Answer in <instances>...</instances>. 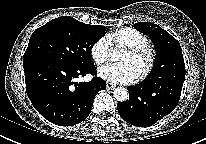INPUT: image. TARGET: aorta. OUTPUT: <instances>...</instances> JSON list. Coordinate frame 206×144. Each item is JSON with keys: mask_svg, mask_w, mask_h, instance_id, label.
<instances>
[{"mask_svg": "<svg viewBox=\"0 0 206 144\" xmlns=\"http://www.w3.org/2000/svg\"><path fill=\"white\" fill-rule=\"evenodd\" d=\"M118 56V52L114 50L112 53V57L116 58ZM114 98L119 102H124L129 98V93L127 89L123 87H118L113 92Z\"/></svg>", "mask_w": 206, "mask_h": 144, "instance_id": "762f6f07", "label": "aorta"}]
</instances>
